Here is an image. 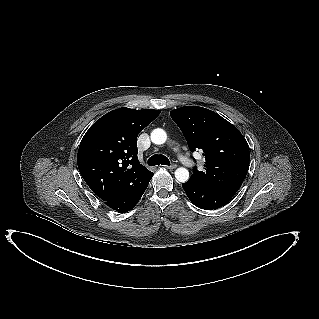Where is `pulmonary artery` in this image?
<instances>
[{"instance_id": "obj_1", "label": "pulmonary artery", "mask_w": 319, "mask_h": 319, "mask_svg": "<svg viewBox=\"0 0 319 319\" xmlns=\"http://www.w3.org/2000/svg\"><path fill=\"white\" fill-rule=\"evenodd\" d=\"M180 159L186 166H191V163L186 158L180 157Z\"/></svg>"}]
</instances>
